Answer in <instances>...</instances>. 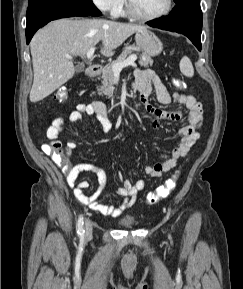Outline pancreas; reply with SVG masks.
<instances>
[{
	"label": "pancreas",
	"instance_id": "cf45deb5",
	"mask_svg": "<svg viewBox=\"0 0 243 289\" xmlns=\"http://www.w3.org/2000/svg\"><path fill=\"white\" fill-rule=\"evenodd\" d=\"M133 52H140V48L135 45L126 46L125 49L122 51V53L117 57L116 60H114L111 64L105 66L102 70V87L98 89L99 95H105L108 98L114 97L115 87L113 85L114 81V72L112 70V66L116 63H120L126 59V57L133 53ZM153 60L149 55L146 53H142L139 57V65L143 67H149L152 66Z\"/></svg>",
	"mask_w": 243,
	"mask_h": 289
}]
</instances>
